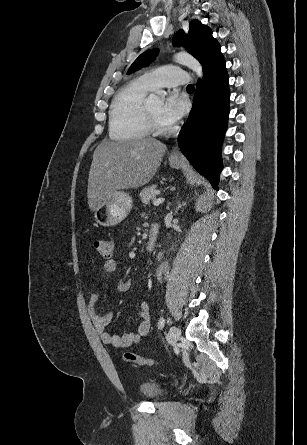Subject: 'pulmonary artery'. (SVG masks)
Masks as SVG:
<instances>
[{"mask_svg": "<svg viewBox=\"0 0 307 445\" xmlns=\"http://www.w3.org/2000/svg\"><path fill=\"white\" fill-rule=\"evenodd\" d=\"M143 77L152 86H175L178 84H190L191 76L187 75V70L176 66H165L161 69H149L145 71Z\"/></svg>", "mask_w": 307, "mask_h": 445, "instance_id": "pulmonary-artery-1", "label": "pulmonary artery"}]
</instances>
